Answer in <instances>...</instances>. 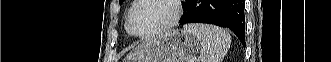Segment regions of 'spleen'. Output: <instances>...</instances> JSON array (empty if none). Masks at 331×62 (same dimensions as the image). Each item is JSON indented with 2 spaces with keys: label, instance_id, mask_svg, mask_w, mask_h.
I'll use <instances>...</instances> for the list:
<instances>
[{
  "label": "spleen",
  "instance_id": "3e777b00",
  "mask_svg": "<svg viewBox=\"0 0 331 62\" xmlns=\"http://www.w3.org/2000/svg\"><path fill=\"white\" fill-rule=\"evenodd\" d=\"M184 30L201 42V62H221L230 44V34L222 28L207 24H188Z\"/></svg>",
  "mask_w": 331,
  "mask_h": 62
}]
</instances>
